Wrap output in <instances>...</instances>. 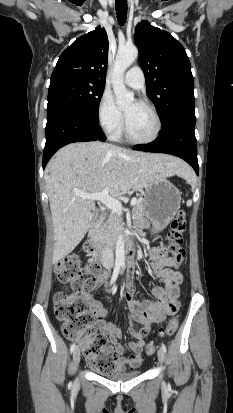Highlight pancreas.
I'll return each mask as SVG.
<instances>
[{"label":"pancreas","instance_id":"obj_1","mask_svg":"<svg viewBox=\"0 0 233 413\" xmlns=\"http://www.w3.org/2000/svg\"><path fill=\"white\" fill-rule=\"evenodd\" d=\"M145 215V206L143 201H137L132 209L134 219L142 218ZM122 226V218L115 212H112L107 219L100 222L91 232V240L102 245L115 240L118 231Z\"/></svg>","mask_w":233,"mask_h":413}]
</instances>
